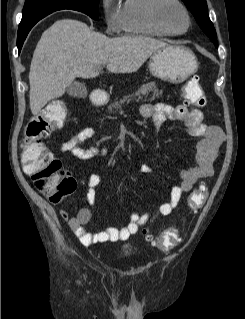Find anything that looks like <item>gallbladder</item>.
<instances>
[{
	"mask_svg": "<svg viewBox=\"0 0 245 319\" xmlns=\"http://www.w3.org/2000/svg\"><path fill=\"white\" fill-rule=\"evenodd\" d=\"M67 93L72 97H85L87 95V89L83 83L73 82L67 87Z\"/></svg>",
	"mask_w": 245,
	"mask_h": 319,
	"instance_id": "gallbladder-1",
	"label": "gallbladder"
}]
</instances>
